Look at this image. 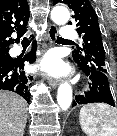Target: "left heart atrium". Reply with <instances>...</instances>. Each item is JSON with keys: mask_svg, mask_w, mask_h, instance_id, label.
I'll return each mask as SVG.
<instances>
[{"mask_svg": "<svg viewBox=\"0 0 117 136\" xmlns=\"http://www.w3.org/2000/svg\"><path fill=\"white\" fill-rule=\"evenodd\" d=\"M42 68L50 75H59L65 71L63 63L55 53H50L43 59Z\"/></svg>", "mask_w": 117, "mask_h": 136, "instance_id": "39dd6f15", "label": "left heart atrium"}]
</instances>
